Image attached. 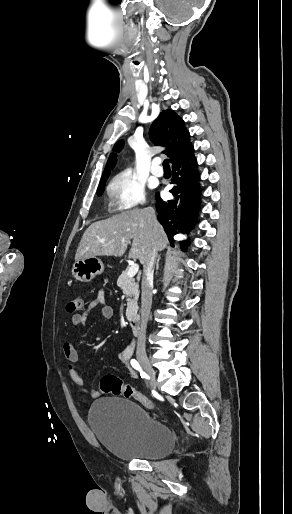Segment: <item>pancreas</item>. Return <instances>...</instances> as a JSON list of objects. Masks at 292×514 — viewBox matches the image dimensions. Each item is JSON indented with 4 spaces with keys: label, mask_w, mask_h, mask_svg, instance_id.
<instances>
[{
    "label": "pancreas",
    "mask_w": 292,
    "mask_h": 514,
    "mask_svg": "<svg viewBox=\"0 0 292 514\" xmlns=\"http://www.w3.org/2000/svg\"><path fill=\"white\" fill-rule=\"evenodd\" d=\"M117 286L121 288L123 294H125L127 300V318H134L137 312V302L139 298V286L135 282L134 278H129L127 270L122 272L117 280Z\"/></svg>",
    "instance_id": "obj_1"
}]
</instances>
